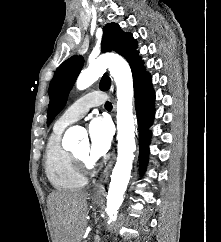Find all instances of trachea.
<instances>
[{
    "label": "trachea",
    "instance_id": "trachea-1",
    "mask_svg": "<svg viewBox=\"0 0 221 242\" xmlns=\"http://www.w3.org/2000/svg\"><path fill=\"white\" fill-rule=\"evenodd\" d=\"M105 108H106L107 110H111V109H112V104H111V102L107 101V102L105 103Z\"/></svg>",
    "mask_w": 221,
    "mask_h": 242
}]
</instances>
